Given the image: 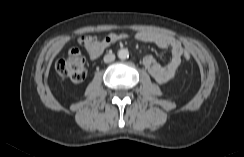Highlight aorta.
<instances>
[{
  "instance_id": "762f6f07",
  "label": "aorta",
  "mask_w": 244,
  "mask_h": 157,
  "mask_svg": "<svg viewBox=\"0 0 244 157\" xmlns=\"http://www.w3.org/2000/svg\"><path fill=\"white\" fill-rule=\"evenodd\" d=\"M117 54L121 60H125L126 58L129 57L128 49H120Z\"/></svg>"
}]
</instances>
